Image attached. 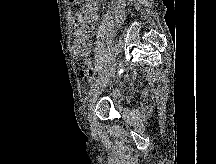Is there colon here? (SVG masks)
<instances>
[{
    "label": "colon",
    "instance_id": "colon-1",
    "mask_svg": "<svg viewBox=\"0 0 216 164\" xmlns=\"http://www.w3.org/2000/svg\"><path fill=\"white\" fill-rule=\"evenodd\" d=\"M81 76L89 82H93L95 77V69L93 67L86 66L84 69L81 70ZM114 94H118V91H115Z\"/></svg>",
    "mask_w": 216,
    "mask_h": 164
}]
</instances>
